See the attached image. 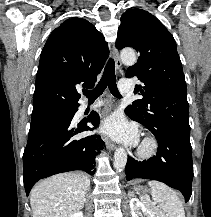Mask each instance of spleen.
Returning <instances> with one entry per match:
<instances>
[{
  "mask_svg": "<svg viewBox=\"0 0 211 217\" xmlns=\"http://www.w3.org/2000/svg\"><path fill=\"white\" fill-rule=\"evenodd\" d=\"M148 184L152 190L153 201L149 196H142L141 200L156 217H185L183 204L170 187L155 180Z\"/></svg>",
  "mask_w": 211,
  "mask_h": 217,
  "instance_id": "1",
  "label": "spleen"
}]
</instances>
